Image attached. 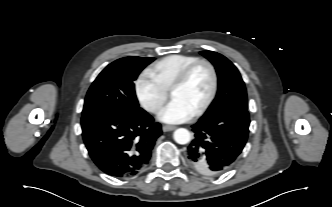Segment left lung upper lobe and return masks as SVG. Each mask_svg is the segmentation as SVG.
Segmentation results:
<instances>
[{
    "label": "left lung upper lobe",
    "instance_id": "1",
    "mask_svg": "<svg viewBox=\"0 0 332 207\" xmlns=\"http://www.w3.org/2000/svg\"><path fill=\"white\" fill-rule=\"evenodd\" d=\"M214 66L218 75V91L215 99L201 117L207 119L229 109H248L245 84L237 68L223 55L213 51H201Z\"/></svg>",
    "mask_w": 332,
    "mask_h": 207
}]
</instances>
